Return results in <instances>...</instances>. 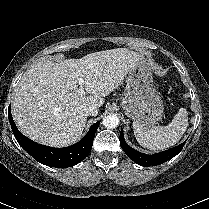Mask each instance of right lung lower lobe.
<instances>
[{"label":"right lung lower lobe","instance_id":"obj_1","mask_svg":"<svg viewBox=\"0 0 209 209\" xmlns=\"http://www.w3.org/2000/svg\"><path fill=\"white\" fill-rule=\"evenodd\" d=\"M8 118L12 131L17 142L33 156L38 162L49 167H72L85 159L91 151L95 132L98 129L99 122L91 126L85 137L78 143L65 148H52L37 144L20 133L11 116L10 107L8 108Z\"/></svg>","mask_w":209,"mask_h":209}]
</instances>
